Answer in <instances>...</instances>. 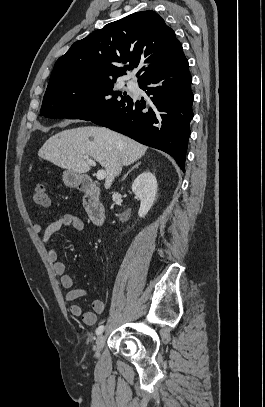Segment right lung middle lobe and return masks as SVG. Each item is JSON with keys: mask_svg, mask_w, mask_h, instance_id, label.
<instances>
[{"mask_svg": "<svg viewBox=\"0 0 265 407\" xmlns=\"http://www.w3.org/2000/svg\"><path fill=\"white\" fill-rule=\"evenodd\" d=\"M116 80L48 84L40 114L48 118L94 120L131 99L114 89Z\"/></svg>", "mask_w": 265, "mask_h": 407, "instance_id": "dd1d6c3e", "label": "right lung middle lobe"}]
</instances>
